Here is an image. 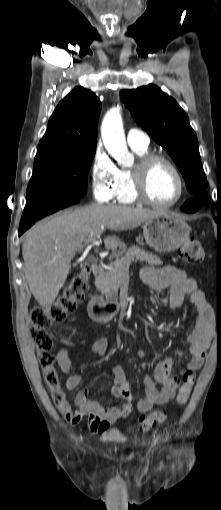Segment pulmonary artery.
<instances>
[{"label":"pulmonary artery","instance_id":"obj_1","mask_svg":"<svg viewBox=\"0 0 221 510\" xmlns=\"http://www.w3.org/2000/svg\"><path fill=\"white\" fill-rule=\"evenodd\" d=\"M127 142L130 146L148 147L150 138L144 131L132 128L127 133Z\"/></svg>","mask_w":221,"mask_h":510}]
</instances>
